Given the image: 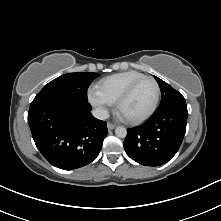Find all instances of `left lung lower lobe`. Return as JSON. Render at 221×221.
<instances>
[{
	"label": "left lung lower lobe",
	"instance_id": "1",
	"mask_svg": "<svg viewBox=\"0 0 221 221\" xmlns=\"http://www.w3.org/2000/svg\"><path fill=\"white\" fill-rule=\"evenodd\" d=\"M186 103L158 109L139 127L127 130L124 149L134 161L146 166L168 162L178 151L187 124Z\"/></svg>",
	"mask_w": 221,
	"mask_h": 221
}]
</instances>
